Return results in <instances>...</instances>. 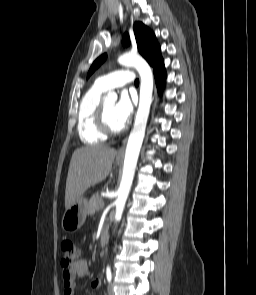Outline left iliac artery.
<instances>
[{
  "label": "left iliac artery",
  "instance_id": "left-iliac-artery-1",
  "mask_svg": "<svg viewBox=\"0 0 256 295\" xmlns=\"http://www.w3.org/2000/svg\"><path fill=\"white\" fill-rule=\"evenodd\" d=\"M106 277H107V281L108 282H111V280H112V273H111V269H110L109 266H107V268H106Z\"/></svg>",
  "mask_w": 256,
  "mask_h": 295
}]
</instances>
